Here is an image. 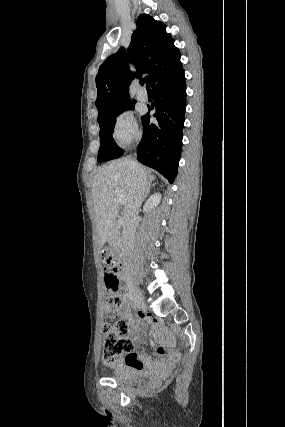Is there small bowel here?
I'll return each instance as SVG.
<instances>
[{
	"label": "small bowel",
	"mask_w": 285,
	"mask_h": 427,
	"mask_svg": "<svg viewBox=\"0 0 285 427\" xmlns=\"http://www.w3.org/2000/svg\"><path fill=\"white\" fill-rule=\"evenodd\" d=\"M122 317L126 320V322L130 325H139L144 326L145 324L154 325L155 321L150 317H145L143 315H137L136 317H132L130 315L129 309L125 306L122 311ZM134 343L139 341L137 336L132 338ZM180 358V354L178 352H174L169 357H161L160 361H151L147 359L143 354H140L136 351H132L129 355H124L120 360L116 363V365H134L137 361H142L145 368L150 370L151 372H157L159 370L165 371L167 368L174 366Z\"/></svg>",
	"instance_id": "obj_1"
}]
</instances>
